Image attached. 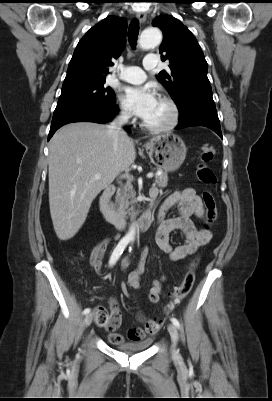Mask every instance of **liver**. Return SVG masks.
<instances>
[{"instance_id": "1", "label": "liver", "mask_w": 272, "mask_h": 401, "mask_svg": "<svg viewBox=\"0 0 272 401\" xmlns=\"http://www.w3.org/2000/svg\"><path fill=\"white\" fill-rule=\"evenodd\" d=\"M135 158L129 137L120 138L114 149L107 125L70 123L54 134L49 143V206L60 240L75 236L92 201L119 173L129 170Z\"/></svg>"}]
</instances>
